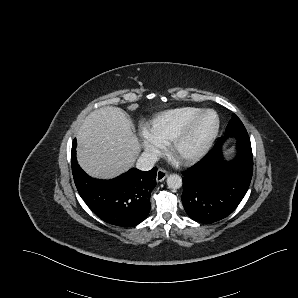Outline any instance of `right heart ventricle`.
<instances>
[{"label": "right heart ventricle", "instance_id": "e07e8e85", "mask_svg": "<svg viewBox=\"0 0 298 298\" xmlns=\"http://www.w3.org/2000/svg\"><path fill=\"white\" fill-rule=\"evenodd\" d=\"M201 111H203L202 108L192 106L164 110L152 117L151 124L154 127L160 128L167 139L186 121L193 118Z\"/></svg>", "mask_w": 298, "mask_h": 298}]
</instances>
